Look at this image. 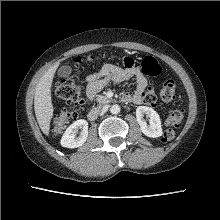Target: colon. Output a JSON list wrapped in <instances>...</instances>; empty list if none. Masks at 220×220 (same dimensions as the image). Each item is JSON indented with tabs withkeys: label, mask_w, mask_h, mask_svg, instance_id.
Returning a JSON list of instances; mask_svg holds the SVG:
<instances>
[{
	"label": "colon",
	"mask_w": 220,
	"mask_h": 220,
	"mask_svg": "<svg viewBox=\"0 0 220 220\" xmlns=\"http://www.w3.org/2000/svg\"><path fill=\"white\" fill-rule=\"evenodd\" d=\"M91 58L77 59L78 63L89 62ZM130 62L128 58L123 60V65ZM142 72L150 77H154L160 74L161 65L159 62L151 57L146 56L141 62ZM53 92L57 98L64 101L66 104L70 105V109L62 110L54 115L53 117V129L56 133L63 131L69 123L76 120L79 116V111L82 108V90L81 87L70 80H61L54 86ZM176 94V84L173 80L169 79L164 82L160 90V98L165 102H170L174 99ZM143 101L147 105H153L156 101V97L153 93H146L143 97ZM184 118L183 112L180 110L170 111L166 118V124L168 128L163 134L164 141H171L175 137V132L173 130L174 126H177L182 122Z\"/></svg>",
	"instance_id": "colon-1"
}]
</instances>
